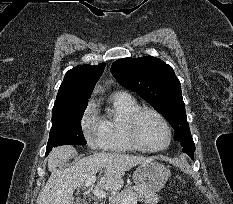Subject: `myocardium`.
I'll return each mask as SVG.
<instances>
[{"label": "myocardium", "mask_w": 233, "mask_h": 204, "mask_svg": "<svg viewBox=\"0 0 233 204\" xmlns=\"http://www.w3.org/2000/svg\"><path fill=\"white\" fill-rule=\"evenodd\" d=\"M144 113H151L155 115L164 125L167 132V140L163 146L157 148H149L141 142L138 134V121ZM126 131L131 144L136 148V150L147 153H155L165 150L169 147L172 140V130L167 119L162 113L151 107H139L134 110L126 120Z\"/></svg>", "instance_id": "obj_1"}]
</instances>
